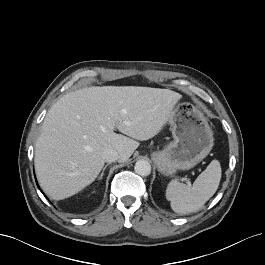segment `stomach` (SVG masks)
Listing matches in <instances>:
<instances>
[{"label": "stomach", "mask_w": 265, "mask_h": 265, "mask_svg": "<svg viewBox=\"0 0 265 265\" xmlns=\"http://www.w3.org/2000/svg\"><path fill=\"white\" fill-rule=\"evenodd\" d=\"M168 123L173 141L152 154L158 171L164 176L193 168L206 158L214 145L213 132L206 117L191 103L177 104Z\"/></svg>", "instance_id": "obj_1"}]
</instances>
